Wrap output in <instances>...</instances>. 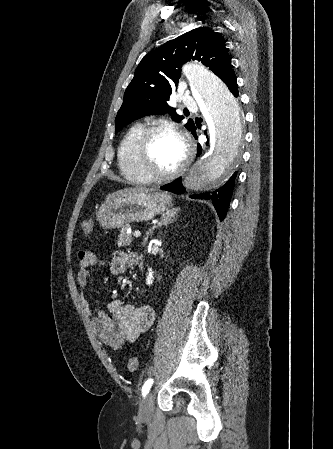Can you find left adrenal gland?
I'll list each match as a JSON object with an SVG mask.
<instances>
[{
    "instance_id": "obj_1",
    "label": "left adrenal gland",
    "mask_w": 333,
    "mask_h": 449,
    "mask_svg": "<svg viewBox=\"0 0 333 449\" xmlns=\"http://www.w3.org/2000/svg\"><path fill=\"white\" fill-rule=\"evenodd\" d=\"M179 212V208H172L170 209L165 215L162 216L161 221L157 224V226H153L152 229H150L147 233H146V237L144 238L143 241V245L146 244L150 234L153 233V230H155L158 227L161 226H167L168 224L174 222L175 218L177 217Z\"/></svg>"
}]
</instances>
